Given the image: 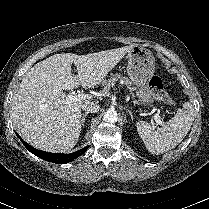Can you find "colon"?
<instances>
[{
	"label": "colon",
	"instance_id": "colon-1",
	"mask_svg": "<svg viewBox=\"0 0 209 209\" xmlns=\"http://www.w3.org/2000/svg\"><path fill=\"white\" fill-rule=\"evenodd\" d=\"M151 94L154 99L167 105L173 104L172 97L165 91L161 79L157 76L151 78L149 82Z\"/></svg>",
	"mask_w": 209,
	"mask_h": 209
}]
</instances>
